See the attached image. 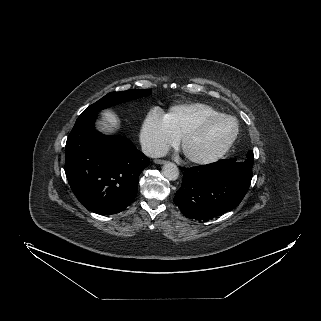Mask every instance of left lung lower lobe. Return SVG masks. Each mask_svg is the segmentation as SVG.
Segmentation results:
<instances>
[{"mask_svg":"<svg viewBox=\"0 0 321 321\" xmlns=\"http://www.w3.org/2000/svg\"><path fill=\"white\" fill-rule=\"evenodd\" d=\"M254 157L244 162L223 159L186 168L174 203L184 216L208 220L239 205L249 189Z\"/></svg>","mask_w":321,"mask_h":321,"instance_id":"1","label":"left lung lower lobe"}]
</instances>
